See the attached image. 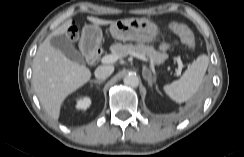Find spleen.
Masks as SVG:
<instances>
[{"mask_svg": "<svg viewBox=\"0 0 244 157\" xmlns=\"http://www.w3.org/2000/svg\"><path fill=\"white\" fill-rule=\"evenodd\" d=\"M209 63L207 55L202 54L194 60L179 80L163 87L173 101L182 103L189 100L202 84Z\"/></svg>", "mask_w": 244, "mask_h": 157, "instance_id": "obj_1", "label": "spleen"}]
</instances>
